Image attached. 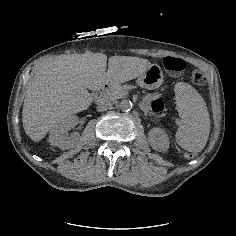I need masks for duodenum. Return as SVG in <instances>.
<instances>
[{
	"label": "duodenum",
	"instance_id": "410a0bca",
	"mask_svg": "<svg viewBox=\"0 0 236 236\" xmlns=\"http://www.w3.org/2000/svg\"><path fill=\"white\" fill-rule=\"evenodd\" d=\"M111 87H112L111 83L103 82V83L100 84L97 91H99V92L106 91V90L110 89Z\"/></svg>",
	"mask_w": 236,
	"mask_h": 236
}]
</instances>
